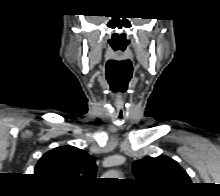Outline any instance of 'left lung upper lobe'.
I'll list each match as a JSON object with an SVG mask.
<instances>
[{"label": "left lung upper lobe", "instance_id": "left-lung-upper-lobe-1", "mask_svg": "<svg viewBox=\"0 0 220 196\" xmlns=\"http://www.w3.org/2000/svg\"><path fill=\"white\" fill-rule=\"evenodd\" d=\"M132 169L140 182L159 189L179 190L191 183L178 163L163 155L138 160L133 163Z\"/></svg>", "mask_w": 220, "mask_h": 196}]
</instances>
